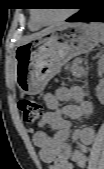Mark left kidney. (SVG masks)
<instances>
[{
  "label": "left kidney",
  "instance_id": "1",
  "mask_svg": "<svg viewBox=\"0 0 104 169\" xmlns=\"http://www.w3.org/2000/svg\"><path fill=\"white\" fill-rule=\"evenodd\" d=\"M102 69H103V61H101L99 63V68H98V72H99V75L101 76L102 74ZM96 93H97V97L98 99L103 102L104 101V88L102 85H98L97 88H96Z\"/></svg>",
  "mask_w": 104,
  "mask_h": 169
}]
</instances>
